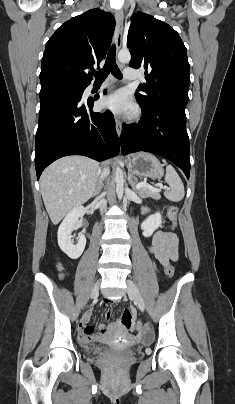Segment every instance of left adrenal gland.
Here are the masks:
<instances>
[{
    "label": "left adrenal gland",
    "mask_w": 235,
    "mask_h": 404,
    "mask_svg": "<svg viewBox=\"0 0 235 404\" xmlns=\"http://www.w3.org/2000/svg\"><path fill=\"white\" fill-rule=\"evenodd\" d=\"M134 180H135V178L132 177V174L130 172H128V182L132 186L133 190L136 191V189H135V184L136 183L134 182Z\"/></svg>",
    "instance_id": "a2214340"
}]
</instances>
